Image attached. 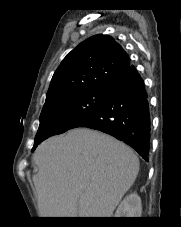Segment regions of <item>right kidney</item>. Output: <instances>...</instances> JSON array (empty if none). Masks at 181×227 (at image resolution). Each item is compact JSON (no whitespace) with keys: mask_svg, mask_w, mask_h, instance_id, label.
<instances>
[{"mask_svg":"<svg viewBox=\"0 0 181 227\" xmlns=\"http://www.w3.org/2000/svg\"><path fill=\"white\" fill-rule=\"evenodd\" d=\"M141 198L136 192L127 195L119 204L115 217H141Z\"/></svg>","mask_w":181,"mask_h":227,"instance_id":"obj_1","label":"right kidney"}]
</instances>
